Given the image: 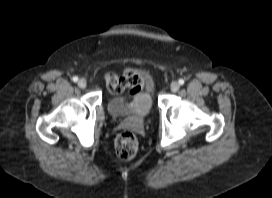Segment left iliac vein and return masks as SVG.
I'll return each instance as SVG.
<instances>
[{
    "instance_id": "4c4485c4",
    "label": "left iliac vein",
    "mask_w": 272,
    "mask_h": 198,
    "mask_svg": "<svg viewBox=\"0 0 272 198\" xmlns=\"http://www.w3.org/2000/svg\"><path fill=\"white\" fill-rule=\"evenodd\" d=\"M179 87H180L179 83L175 82V81L172 82L171 85H170V89L173 92H177L179 90Z\"/></svg>"
}]
</instances>
